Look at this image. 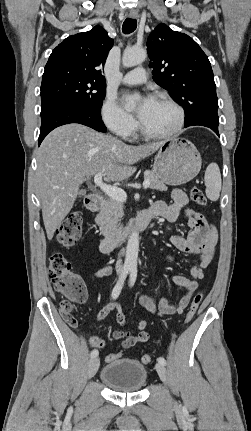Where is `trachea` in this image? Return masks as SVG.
Masks as SVG:
<instances>
[{
	"instance_id": "3493384b",
	"label": "trachea",
	"mask_w": 251,
	"mask_h": 431,
	"mask_svg": "<svg viewBox=\"0 0 251 431\" xmlns=\"http://www.w3.org/2000/svg\"><path fill=\"white\" fill-rule=\"evenodd\" d=\"M137 27V21L136 19L127 18L122 26V31L125 34L132 33Z\"/></svg>"
}]
</instances>
